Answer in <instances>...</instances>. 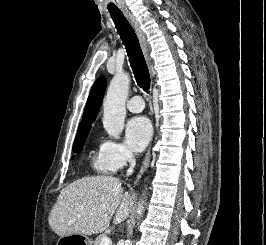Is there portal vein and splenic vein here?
Masks as SVG:
<instances>
[{"instance_id": "portal-vein-and-splenic-vein-1", "label": "portal vein and splenic vein", "mask_w": 266, "mask_h": 245, "mask_svg": "<svg viewBox=\"0 0 266 245\" xmlns=\"http://www.w3.org/2000/svg\"><path fill=\"white\" fill-rule=\"evenodd\" d=\"M102 209H105L104 205H102ZM100 245H112V241L109 239V237H103V239H101Z\"/></svg>"}]
</instances>
